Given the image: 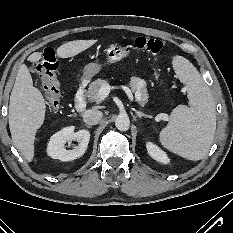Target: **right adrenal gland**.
Instances as JSON below:
<instances>
[{"label": "right adrenal gland", "mask_w": 233, "mask_h": 233, "mask_svg": "<svg viewBox=\"0 0 233 233\" xmlns=\"http://www.w3.org/2000/svg\"><path fill=\"white\" fill-rule=\"evenodd\" d=\"M87 128H91V126L90 125H85Z\"/></svg>", "instance_id": "obj_1"}]
</instances>
